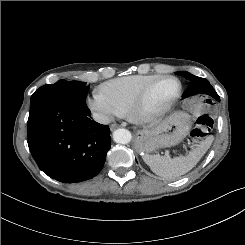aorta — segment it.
I'll return each instance as SVG.
<instances>
[{"label": "aorta", "instance_id": "obj_1", "mask_svg": "<svg viewBox=\"0 0 245 245\" xmlns=\"http://www.w3.org/2000/svg\"><path fill=\"white\" fill-rule=\"evenodd\" d=\"M132 139L131 132L124 128H119L113 132V140L116 143L128 144Z\"/></svg>", "mask_w": 245, "mask_h": 245}]
</instances>
